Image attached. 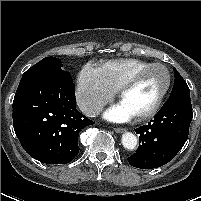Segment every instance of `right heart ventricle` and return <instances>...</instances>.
I'll return each mask as SVG.
<instances>
[{"instance_id":"right-heart-ventricle-1","label":"right heart ventricle","mask_w":201,"mask_h":201,"mask_svg":"<svg viewBox=\"0 0 201 201\" xmlns=\"http://www.w3.org/2000/svg\"><path fill=\"white\" fill-rule=\"evenodd\" d=\"M152 63L135 58L110 60L98 68L104 82L114 91H118L122 83L134 73Z\"/></svg>"}]
</instances>
